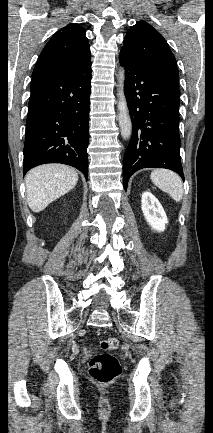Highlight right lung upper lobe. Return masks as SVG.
Returning <instances> with one entry per match:
<instances>
[{
  "mask_svg": "<svg viewBox=\"0 0 213 433\" xmlns=\"http://www.w3.org/2000/svg\"><path fill=\"white\" fill-rule=\"evenodd\" d=\"M85 32L76 23L57 31L42 50L32 76L70 73L90 62Z\"/></svg>",
  "mask_w": 213,
  "mask_h": 433,
  "instance_id": "obj_1",
  "label": "right lung upper lobe"
}]
</instances>
